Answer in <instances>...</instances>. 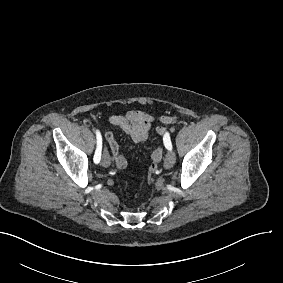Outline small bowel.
Returning a JSON list of instances; mask_svg holds the SVG:
<instances>
[{
	"mask_svg": "<svg viewBox=\"0 0 283 283\" xmlns=\"http://www.w3.org/2000/svg\"><path fill=\"white\" fill-rule=\"evenodd\" d=\"M174 120V117L166 116L162 119V122L170 123ZM155 121L156 118L152 114L142 110H130L125 114H114L108 117V122L111 125L128 134L136 143L143 142L147 139ZM155 132L158 136L163 138L166 135L167 130L164 126L157 125L155 127ZM105 139L108 143L116 168L118 170L125 169L127 160L120 152L119 143L115 134L112 131H108L105 133Z\"/></svg>",
	"mask_w": 283,
	"mask_h": 283,
	"instance_id": "small-bowel-1",
	"label": "small bowel"
}]
</instances>
